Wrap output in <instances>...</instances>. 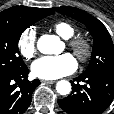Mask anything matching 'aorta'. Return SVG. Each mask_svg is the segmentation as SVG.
Instances as JSON below:
<instances>
[{
    "label": "aorta",
    "instance_id": "obj_1",
    "mask_svg": "<svg viewBox=\"0 0 114 114\" xmlns=\"http://www.w3.org/2000/svg\"><path fill=\"white\" fill-rule=\"evenodd\" d=\"M62 42L53 35H43L37 42V48L44 54H55L62 50ZM56 90L60 95H67L71 92V84L66 80H61L56 85Z\"/></svg>",
    "mask_w": 114,
    "mask_h": 114
}]
</instances>
